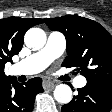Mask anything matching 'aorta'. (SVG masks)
Wrapping results in <instances>:
<instances>
[{"mask_svg":"<svg viewBox=\"0 0 112 112\" xmlns=\"http://www.w3.org/2000/svg\"><path fill=\"white\" fill-rule=\"evenodd\" d=\"M24 42L27 47L39 50L46 43V34L40 28H30L24 36ZM54 98L61 104H68L72 100L71 88L66 84L57 85L54 90Z\"/></svg>","mask_w":112,"mask_h":112,"instance_id":"aorta-1","label":"aorta"}]
</instances>
